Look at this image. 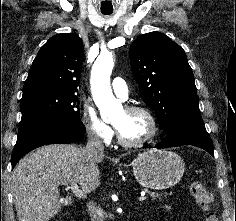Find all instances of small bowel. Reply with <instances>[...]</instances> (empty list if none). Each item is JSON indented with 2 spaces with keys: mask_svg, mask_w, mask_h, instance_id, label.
<instances>
[{
  "mask_svg": "<svg viewBox=\"0 0 236 221\" xmlns=\"http://www.w3.org/2000/svg\"><path fill=\"white\" fill-rule=\"evenodd\" d=\"M164 208H165V209H168V206H165Z\"/></svg>",
  "mask_w": 236,
  "mask_h": 221,
  "instance_id": "small-bowel-1",
  "label": "small bowel"
}]
</instances>
